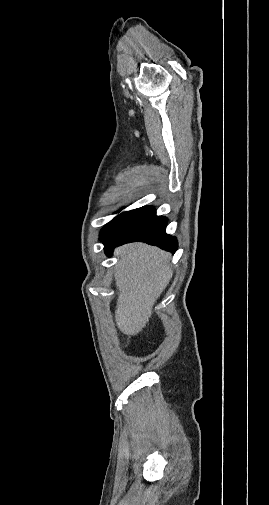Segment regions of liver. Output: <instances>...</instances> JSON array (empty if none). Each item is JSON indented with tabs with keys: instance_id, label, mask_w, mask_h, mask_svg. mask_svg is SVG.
Segmentation results:
<instances>
[{
	"instance_id": "6515ba94",
	"label": "liver",
	"mask_w": 269,
	"mask_h": 505,
	"mask_svg": "<svg viewBox=\"0 0 269 505\" xmlns=\"http://www.w3.org/2000/svg\"><path fill=\"white\" fill-rule=\"evenodd\" d=\"M115 254L120 257L115 274L119 290L115 320L121 332L134 336L148 323L154 303L172 278L171 255L144 243L121 246Z\"/></svg>"
}]
</instances>
